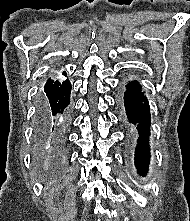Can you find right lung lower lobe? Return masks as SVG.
Here are the masks:
<instances>
[{
    "instance_id": "right-lung-lower-lobe-1",
    "label": "right lung lower lobe",
    "mask_w": 190,
    "mask_h": 221,
    "mask_svg": "<svg viewBox=\"0 0 190 221\" xmlns=\"http://www.w3.org/2000/svg\"><path fill=\"white\" fill-rule=\"evenodd\" d=\"M70 92L68 79L61 82L49 79L38 100L34 140L37 148L46 153L52 168L60 167L66 161L69 119L63 113L70 103Z\"/></svg>"
}]
</instances>
